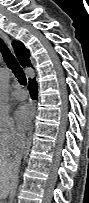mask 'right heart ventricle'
I'll use <instances>...</instances> for the list:
<instances>
[{
	"label": "right heart ventricle",
	"mask_w": 89,
	"mask_h": 203,
	"mask_svg": "<svg viewBox=\"0 0 89 203\" xmlns=\"http://www.w3.org/2000/svg\"><path fill=\"white\" fill-rule=\"evenodd\" d=\"M10 154L7 150H5L1 145H0V157H6Z\"/></svg>",
	"instance_id": "right-heart-ventricle-1"
}]
</instances>
